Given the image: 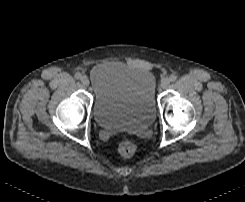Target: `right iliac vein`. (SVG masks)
<instances>
[{"label":"right iliac vein","mask_w":245,"mask_h":202,"mask_svg":"<svg viewBox=\"0 0 245 202\" xmlns=\"http://www.w3.org/2000/svg\"><path fill=\"white\" fill-rule=\"evenodd\" d=\"M81 83L84 85V86H88L89 85V79L87 76H82L81 77Z\"/></svg>","instance_id":"obj_1"}]
</instances>
